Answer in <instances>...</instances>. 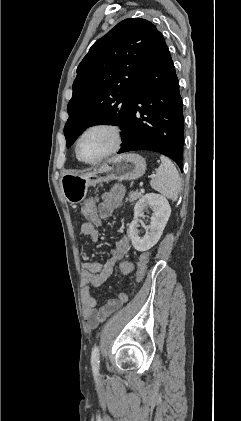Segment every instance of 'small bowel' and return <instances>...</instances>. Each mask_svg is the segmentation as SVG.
<instances>
[{
    "mask_svg": "<svg viewBox=\"0 0 241 421\" xmlns=\"http://www.w3.org/2000/svg\"><path fill=\"white\" fill-rule=\"evenodd\" d=\"M125 194L122 185H115L110 191L102 195V202L98 206L97 214L100 219L109 218L114 210L120 206ZM81 234L96 242L99 237V230L89 222L81 225ZM129 250V241L126 236L121 237L111 250L110 256L104 263L85 262L82 265L81 276V301L83 303V313L87 325L90 328L97 327L106 320L112 313L117 311L127 300L123 293L117 298L109 299L105 304L97 307L96 299L91 295V287H99L104 284L112 275L116 263L121 260Z\"/></svg>",
    "mask_w": 241,
    "mask_h": 421,
    "instance_id": "c3829d8e",
    "label": "small bowel"
}]
</instances>
